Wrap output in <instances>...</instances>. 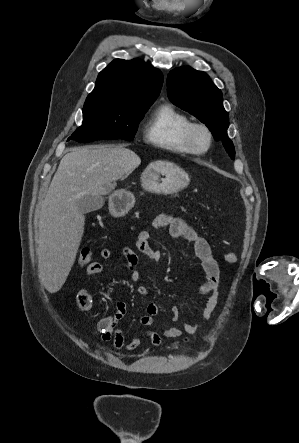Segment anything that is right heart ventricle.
<instances>
[{
	"label": "right heart ventricle",
	"instance_id": "right-heart-ventricle-1",
	"mask_svg": "<svg viewBox=\"0 0 299 443\" xmlns=\"http://www.w3.org/2000/svg\"><path fill=\"white\" fill-rule=\"evenodd\" d=\"M192 120L173 105L165 103L158 106L150 116L145 140L162 150L177 154H190L184 143V133Z\"/></svg>",
	"mask_w": 299,
	"mask_h": 443
}]
</instances>
